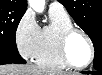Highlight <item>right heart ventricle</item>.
<instances>
[{
    "instance_id": "right-heart-ventricle-1",
    "label": "right heart ventricle",
    "mask_w": 102,
    "mask_h": 75,
    "mask_svg": "<svg viewBox=\"0 0 102 75\" xmlns=\"http://www.w3.org/2000/svg\"><path fill=\"white\" fill-rule=\"evenodd\" d=\"M50 22L39 30L38 48L34 56L35 63L49 68H64L58 52V38L63 30L73 26V21L66 11L49 10Z\"/></svg>"
}]
</instances>
